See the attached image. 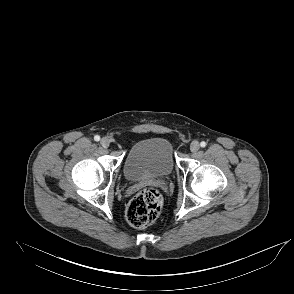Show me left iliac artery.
<instances>
[{
	"instance_id": "44dca946",
	"label": "left iliac artery",
	"mask_w": 294,
	"mask_h": 294,
	"mask_svg": "<svg viewBox=\"0 0 294 294\" xmlns=\"http://www.w3.org/2000/svg\"><path fill=\"white\" fill-rule=\"evenodd\" d=\"M207 145V143L205 142V141H202L201 143H200V146L201 147H205Z\"/></svg>"
}]
</instances>
